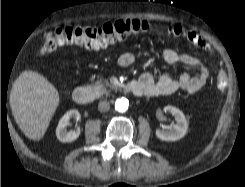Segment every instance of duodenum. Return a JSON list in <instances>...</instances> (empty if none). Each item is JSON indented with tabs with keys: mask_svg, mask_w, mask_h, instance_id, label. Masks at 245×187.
<instances>
[{
	"mask_svg": "<svg viewBox=\"0 0 245 187\" xmlns=\"http://www.w3.org/2000/svg\"><path fill=\"white\" fill-rule=\"evenodd\" d=\"M124 90L136 97L144 94V87L136 80H130L125 83ZM99 97V90L96 87L79 86L73 92V99L77 104H88Z\"/></svg>",
	"mask_w": 245,
	"mask_h": 187,
	"instance_id": "duodenum-1",
	"label": "duodenum"
}]
</instances>
